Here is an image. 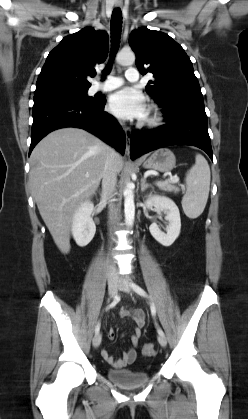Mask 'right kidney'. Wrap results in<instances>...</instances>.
<instances>
[{"mask_svg": "<svg viewBox=\"0 0 248 419\" xmlns=\"http://www.w3.org/2000/svg\"><path fill=\"white\" fill-rule=\"evenodd\" d=\"M94 205L90 201L82 203L74 213L72 220V234L77 245L84 247L93 239L96 226L91 217Z\"/></svg>", "mask_w": 248, "mask_h": 419, "instance_id": "obj_1", "label": "right kidney"}]
</instances>
